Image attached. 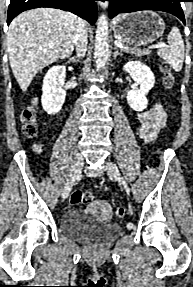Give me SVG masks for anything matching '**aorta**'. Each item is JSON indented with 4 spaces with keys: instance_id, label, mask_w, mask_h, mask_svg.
Segmentation results:
<instances>
[{
    "instance_id": "obj_1",
    "label": "aorta",
    "mask_w": 193,
    "mask_h": 287,
    "mask_svg": "<svg viewBox=\"0 0 193 287\" xmlns=\"http://www.w3.org/2000/svg\"><path fill=\"white\" fill-rule=\"evenodd\" d=\"M109 32L108 20L106 15L101 14L98 17L97 29L95 35L94 60L97 70L103 68L109 55Z\"/></svg>"
}]
</instances>
